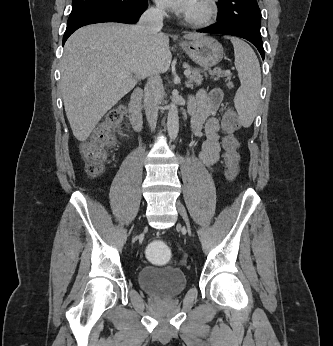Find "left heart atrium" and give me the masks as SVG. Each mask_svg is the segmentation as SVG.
Wrapping results in <instances>:
<instances>
[{
    "label": "left heart atrium",
    "instance_id": "39dd6f15",
    "mask_svg": "<svg viewBox=\"0 0 333 346\" xmlns=\"http://www.w3.org/2000/svg\"><path fill=\"white\" fill-rule=\"evenodd\" d=\"M161 6L180 13H187L195 0H156Z\"/></svg>",
    "mask_w": 333,
    "mask_h": 346
}]
</instances>
